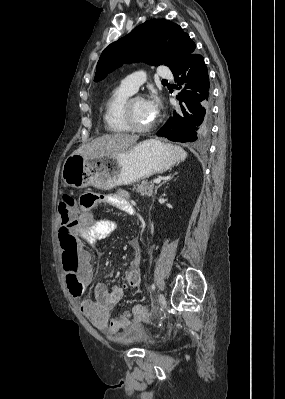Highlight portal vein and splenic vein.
I'll list each match as a JSON object with an SVG mask.
<instances>
[{
    "instance_id": "portal-vein-and-splenic-vein-1",
    "label": "portal vein and splenic vein",
    "mask_w": 285,
    "mask_h": 399,
    "mask_svg": "<svg viewBox=\"0 0 285 399\" xmlns=\"http://www.w3.org/2000/svg\"><path fill=\"white\" fill-rule=\"evenodd\" d=\"M160 182H161L160 179H154V180H153V183H155V184H159Z\"/></svg>"
}]
</instances>
